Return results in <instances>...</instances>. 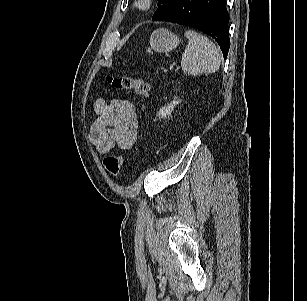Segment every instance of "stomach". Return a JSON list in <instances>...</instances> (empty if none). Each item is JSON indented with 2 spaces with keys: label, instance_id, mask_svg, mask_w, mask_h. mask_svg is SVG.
Masks as SVG:
<instances>
[{
  "label": "stomach",
  "instance_id": "stomach-1",
  "mask_svg": "<svg viewBox=\"0 0 307 301\" xmlns=\"http://www.w3.org/2000/svg\"><path fill=\"white\" fill-rule=\"evenodd\" d=\"M180 43L177 35L167 29H157L150 36L151 48L160 53H167L176 48Z\"/></svg>",
  "mask_w": 307,
  "mask_h": 301
}]
</instances>
